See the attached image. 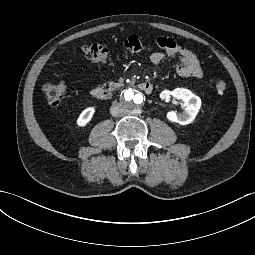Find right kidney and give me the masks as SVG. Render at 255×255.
I'll return each instance as SVG.
<instances>
[{
  "instance_id": "1",
  "label": "right kidney",
  "mask_w": 255,
  "mask_h": 255,
  "mask_svg": "<svg viewBox=\"0 0 255 255\" xmlns=\"http://www.w3.org/2000/svg\"><path fill=\"white\" fill-rule=\"evenodd\" d=\"M95 107L91 106L82 111V113L78 116L76 120V125L79 127L87 126L92 120L95 114Z\"/></svg>"
}]
</instances>
